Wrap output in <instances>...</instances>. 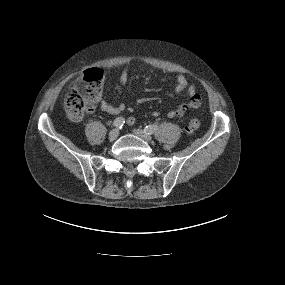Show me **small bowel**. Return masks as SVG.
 Masks as SVG:
<instances>
[{"mask_svg":"<svg viewBox=\"0 0 285 285\" xmlns=\"http://www.w3.org/2000/svg\"><path fill=\"white\" fill-rule=\"evenodd\" d=\"M129 81V69L125 68L122 70L119 81L117 84V89L120 90L124 87ZM184 91L188 92L189 100L188 102L177 106L175 109L169 110L166 112V116L168 118H180L184 116L189 110L195 109L200 105V95L196 89V87L192 84L188 83V80L184 74H179L176 77V93H182ZM100 108L102 111L111 114L117 115L121 113L125 109V104L120 103L118 105H114L106 100H102L100 103ZM153 116L158 117L160 112L158 110L153 111ZM134 118L128 119V124H133Z\"/></svg>","mask_w":285,"mask_h":285,"instance_id":"obj_1","label":"small bowel"}]
</instances>
